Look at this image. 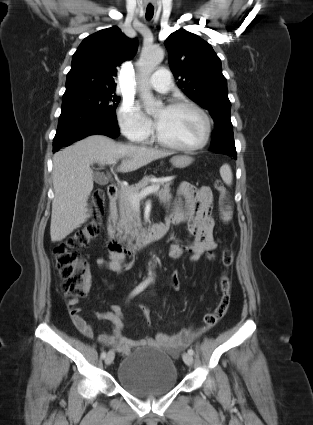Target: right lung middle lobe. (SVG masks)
Returning a JSON list of instances; mask_svg holds the SVG:
<instances>
[{
    "instance_id": "dd1d6c3e",
    "label": "right lung middle lobe",
    "mask_w": 313,
    "mask_h": 425,
    "mask_svg": "<svg viewBox=\"0 0 313 425\" xmlns=\"http://www.w3.org/2000/svg\"><path fill=\"white\" fill-rule=\"evenodd\" d=\"M119 101L114 89L77 90L63 95L62 106L73 104L115 115Z\"/></svg>"
}]
</instances>
